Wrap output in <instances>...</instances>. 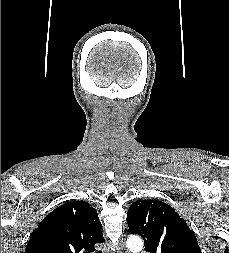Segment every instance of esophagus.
I'll return each instance as SVG.
<instances>
[{
  "label": "esophagus",
  "instance_id": "1",
  "mask_svg": "<svg viewBox=\"0 0 229 253\" xmlns=\"http://www.w3.org/2000/svg\"><path fill=\"white\" fill-rule=\"evenodd\" d=\"M118 252L117 253H127L125 250H124V246L122 244H120V246L118 247Z\"/></svg>",
  "mask_w": 229,
  "mask_h": 253
}]
</instances>
